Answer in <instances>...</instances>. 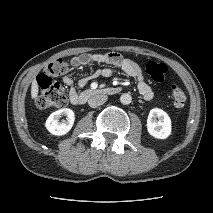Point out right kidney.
<instances>
[{
    "mask_svg": "<svg viewBox=\"0 0 213 213\" xmlns=\"http://www.w3.org/2000/svg\"><path fill=\"white\" fill-rule=\"evenodd\" d=\"M62 116H66V120L60 122L59 119ZM74 121L75 114L73 110L69 108H63L50 114L46 120L45 127L51 134L61 136L70 131Z\"/></svg>",
    "mask_w": 213,
    "mask_h": 213,
    "instance_id": "right-kidney-1",
    "label": "right kidney"
}]
</instances>
